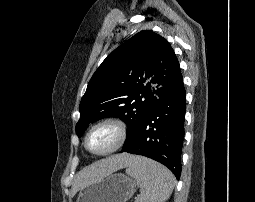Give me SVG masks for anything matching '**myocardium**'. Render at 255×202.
<instances>
[{
	"label": "myocardium",
	"instance_id": "obj_1",
	"mask_svg": "<svg viewBox=\"0 0 255 202\" xmlns=\"http://www.w3.org/2000/svg\"><path fill=\"white\" fill-rule=\"evenodd\" d=\"M104 126L112 127L115 130L116 135H117L116 142L111 148L107 149L106 151L95 152L89 148L88 139L93 131H95L96 129H98L100 127H104ZM127 137H128V127H127L126 123L120 118L108 117V118H105V119H102V120L96 122L95 124H93L90 127V129L87 131L85 138H84V146H85L86 150L88 152H90L91 154H94L97 156H106V155H109V154L117 151L118 149H120L126 142Z\"/></svg>",
	"mask_w": 255,
	"mask_h": 202
}]
</instances>
